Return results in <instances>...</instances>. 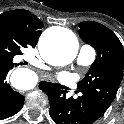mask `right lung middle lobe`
<instances>
[{"instance_id":"right-lung-middle-lobe-1","label":"right lung middle lobe","mask_w":124,"mask_h":124,"mask_svg":"<svg viewBox=\"0 0 124 124\" xmlns=\"http://www.w3.org/2000/svg\"><path fill=\"white\" fill-rule=\"evenodd\" d=\"M27 46L26 39L19 31L0 21V58L12 61Z\"/></svg>"}]
</instances>
